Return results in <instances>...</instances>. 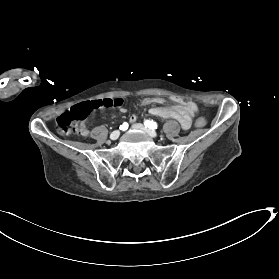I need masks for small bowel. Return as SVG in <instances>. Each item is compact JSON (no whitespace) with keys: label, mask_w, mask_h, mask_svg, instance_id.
Here are the masks:
<instances>
[{"label":"small bowel","mask_w":279,"mask_h":279,"mask_svg":"<svg viewBox=\"0 0 279 279\" xmlns=\"http://www.w3.org/2000/svg\"><path fill=\"white\" fill-rule=\"evenodd\" d=\"M172 101H174L176 104L170 107H163L161 106L165 102L163 98L151 97L145 98L141 102V105H155L154 107L150 108V114L162 118L176 119L184 130L189 129L192 124V113H190L185 108V106L179 101L177 97H173ZM120 112L125 113L126 109L124 107H120ZM129 120L131 123H134L137 120V116L135 114H132ZM79 134L82 136H86L88 134V130L84 123H82L80 126Z\"/></svg>","instance_id":"1"}]
</instances>
